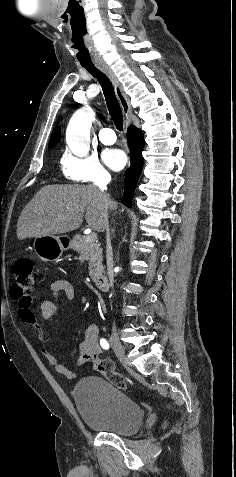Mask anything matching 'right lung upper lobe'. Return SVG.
Masks as SVG:
<instances>
[{
  "label": "right lung upper lobe",
  "instance_id": "right-lung-upper-lobe-1",
  "mask_svg": "<svg viewBox=\"0 0 236 477\" xmlns=\"http://www.w3.org/2000/svg\"><path fill=\"white\" fill-rule=\"evenodd\" d=\"M60 139V132H59V129L58 128H55V130L53 131L52 135H51V138H50V147H52L53 145H55Z\"/></svg>",
  "mask_w": 236,
  "mask_h": 477
}]
</instances>
